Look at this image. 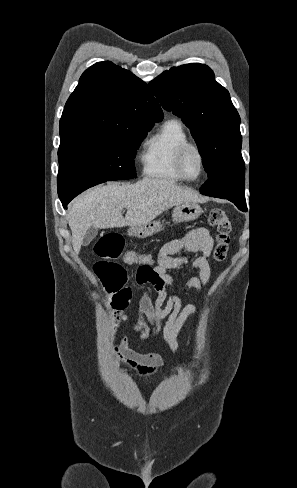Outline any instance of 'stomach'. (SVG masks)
Here are the masks:
<instances>
[{"label": "stomach", "mask_w": 297, "mask_h": 488, "mask_svg": "<svg viewBox=\"0 0 297 488\" xmlns=\"http://www.w3.org/2000/svg\"><path fill=\"white\" fill-rule=\"evenodd\" d=\"M202 213L203 210L197 202L181 203L175 206L172 212V220L176 223L190 222L196 220ZM161 230L162 224L159 220L151 221L140 226H132L128 230V234L137 238H147Z\"/></svg>", "instance_id": "1"}]
</instances>
